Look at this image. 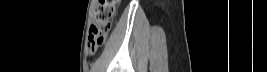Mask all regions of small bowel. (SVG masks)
<instances>
[{
	"label": "small bowel",
	"instance_id": "1",
	"mask_svg": "<svg viewBox=\"0 0 267 72\" xmlns=\"http://www.w3.org/2000/svg\"><path fill=\"white\" fill-rule=\"evenodd\" d=\"M96 50H97V47L92 48V47L90 46L89 42H88V44H87V51H88L89 53H94Z\"/></svg>",
	"mask_w": 267,
	"mask_h": 72
}]
</instances>
